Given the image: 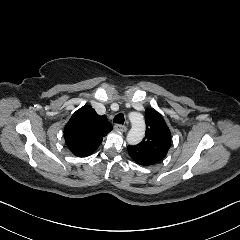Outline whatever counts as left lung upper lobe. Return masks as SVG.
Segmentation results:
<instances>
[{
  "label": "left lung upper lobe",
  "instance_id": "left-lung-upper-lobe-1",
  "mask_svg": "<svg viewBox=\"0 0 240 240\" xmlns=\"http://www.w3.org/2000/svg\"><path fill=\"white\" fill-rule=\"evenodd\" d=\"M146 132L143 140L128 146L129 155L141 165H153L167 154L170 148V130L163 117L153 109H146Z\"/></svg>",
  "mask_w": 240,
  "mask_h": 240
}]
</instances>
